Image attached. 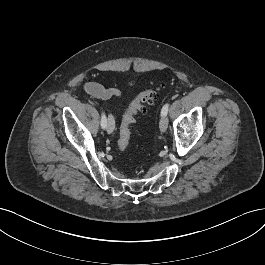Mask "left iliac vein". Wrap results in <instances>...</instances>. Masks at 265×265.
Segmentation results:
<instances>
[{
	"label": "left iliac vein",
	"mask_w": 265,
	"mask_h": 265,
	"mask_svg": "<svg viewBox=\"0 0 265 265\" xmlns=\"http://www.w3.org/2000/svg\"><path fill=\"white\" fill-rule=\"evenodd\" d=\"M159 127L161 132H165L168 127V118L166 115H162L159 122Z\"/></svg>",
	"instance_id": "1"
}]
</instances>
